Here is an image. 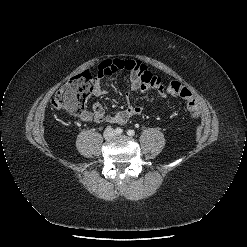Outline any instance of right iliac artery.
<instances>
[{
	"label": "right iliac artery",
	"mask_w": 247,
	"mask_h": 247,
	"mask_svg": "<svg viewBox=\"0 0 247 247\" xmlns=\"http://www.w3.org/2000/svg\"><path fill=\"white\" fill-rule=\"evenodd\" d=\"M122 132H123V130H122L120 127H117V128L115 129V133H116V134H122Z\"/></svg>",
	"instance_id": "obj_1"
}]
</instances>
